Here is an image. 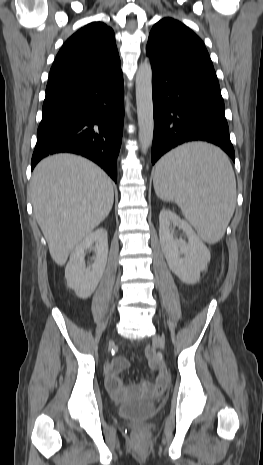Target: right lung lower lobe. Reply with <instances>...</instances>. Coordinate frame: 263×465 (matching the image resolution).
<instances>
[{"label": "right lung lower lobe", "mask_w": 263, "mask_h": 465, "mask_svg": "<svg viewBox=\"0 0 263 465\" xmlns=\"http://www.w3.org/2000/svg\"><path fill=\"white\" fill-rule=\"evenodd\" d=\"M31 168L44 157L70 152L100 165L116 182L124 120L122 71L46 92Z\"/></svg>", "instance_id": "1"}]
</instances>
